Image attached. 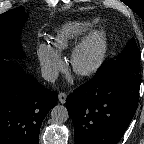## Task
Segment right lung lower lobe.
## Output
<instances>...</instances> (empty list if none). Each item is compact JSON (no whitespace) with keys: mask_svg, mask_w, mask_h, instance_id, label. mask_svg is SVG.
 Here are the masks:
<instances>
[{"mask_svg":"<svg viewBox=\"0 0 144 144\" xmlns=\"http://www.w3.org/2000/svg\"><path fill=\"white\" fill-rule=\"evenodd\" d=\"M57 102L14 62L0 61V144H39L41 123Z\"/></svg>","mask_w":144,"mask_h":144,"instance_id":"right-lung-lower-lobe-1","label":"right lung lower lobe"}]
</instances>
